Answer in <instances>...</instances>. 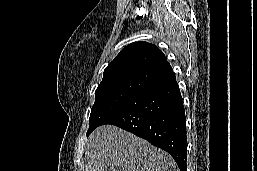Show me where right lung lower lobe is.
Here are the masks:
<instances>
[{"label":"right lung lower lobe","instance_id":"98d812e1","mask_svg":"<svg viewBox=\"0 0 257 171\" xmlns=\"http://www.w3.org/2000/svg\"><path fill=\"white\" fill-rule=\"evenodd\" d=\"M113 124L167 151L187 171L186 117L175 75L135 96L103 123Z\"/></svg>","mask_w":257,"mask_h":171}]
</instances>
